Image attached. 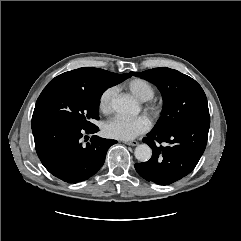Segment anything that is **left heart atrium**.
<instances>
[{
  "label": "left heart atrium",
  "mask_w": 241,
  "mask_h": 241,
  "mask_svg": "<svg viewBox=\"0 0 241 241\" xmlns=\"http://www.w3.org/2000/svg\"><path fill=\"white\" fill-rule=\"evenodd\" d=\"M149 128L150 121L146 116H115L105 123L103 131L107 137L126 141L145 133Z\"/></svg>",
  "instance_id": "left-heart-atrium-1"
}]
</instances>
